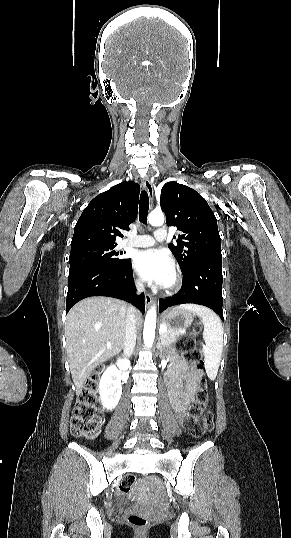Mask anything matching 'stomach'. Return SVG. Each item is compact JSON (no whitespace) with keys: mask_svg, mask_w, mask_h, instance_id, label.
Returning <instances> with one entry per match:
<instances>
[{"mask_svg":"<svg viewBox=\"0 0 291 538\" xmlns=\"http://www.w3.org/2000/svg\"><path fill=\"white\" fill-rule=\"evenodd\" d=\"M193 322V315L190 311L174 309L166 312L162 316V324L169 330L178 332L188 328Z\"/></svg>","mask_w":291,"mask_h":538,"instance_id":"1","label":"stomach"}]
</instances>
